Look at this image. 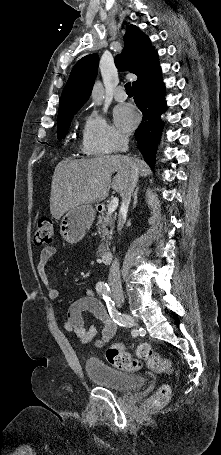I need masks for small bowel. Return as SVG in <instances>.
Listing matches in <instances>:
<instances>
[{
	"label": "small bowel",
	"instance_id": "1",
	"mask_svg": "<svg viewBox=\"0 0 221 455\" xmlns=\"http://www.w3.org/2000/svg\"><path fill=\"white\" fill-rule=\"evenodd\" d=\"M56 254L54 246H48L41 250L36 263V272L42 284L47 289L48 297L52 300L59 298V290L51 284L46 268ZM89 312L103 323L101 333L97 326L92 325L85 328L83 313ZM64 329L73 333L83 344H90L97 347L108 342L116 333L117 325L109 316L105 305L99 300L92 289H87L84 296L74 301L68 308L67 319L64 322Z\"/></svg>",
	"mask_w": 221,
	"mask_h": 455
}]
</instances>
